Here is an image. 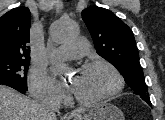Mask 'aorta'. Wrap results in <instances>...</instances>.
Returning a JSON list of instances; mask_svg holds the SVG:
<instances>
[{
  "mask_svg": "<svg viewBox=\"0 0 165 120\" xmlns=\"http://www.w3.org/2000/svg\"><path fill=\"white\" fill-rule=\"evenodd\" d=\"M77 24L72 21H64L55 25L52 29V40L60 43L77 34Z\"/></svg>",
  "mask_w": 165,
  "mask_h": 120,
  "instance_id": "762f6f07",
  "label": "aorta"
}]
</instances>
